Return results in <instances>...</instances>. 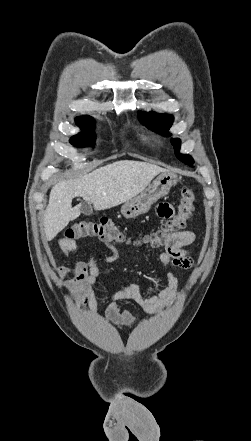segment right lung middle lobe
<instances>
[{"label": "right lung middle lobe", "instance_id": "right-lung-middle-lobe-1", "mask_svg": "<svg viewBox=\"0 0 251 441\" xmlns=\"http://www.w3.org/2000/svg\"><path fill=\"white\" fill-rule=\"evenodd\" d=\"M76 123L84 130L78 135L73 136L70 139V143L74 146L94 145V120L89 116H81L76 118Z\"/></svg>", "mask_w": 251, "mask_h": 441}]
</instances>
